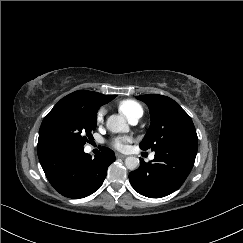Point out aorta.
Masks as SVG:
<instances>
[{
  "instance_id": "1",
  "label": "aorta",
  "mask_w": 243,
  "mask_h": 243,
  "mask_svg": "<svg viewBox=\"0 0 243 243\" xmlns=\"http://www.w3.org/2000/svg\"><path fill=\"white\" fill-rule=\"evenodd\" d=\"M106 127L113 133L127 132L129 130L126 120L120 115H111L107 119ZM125 166L131 171L136 170L139 166V159L134 156H129L125 159Z\"/></svg>"
}]
</instances>
